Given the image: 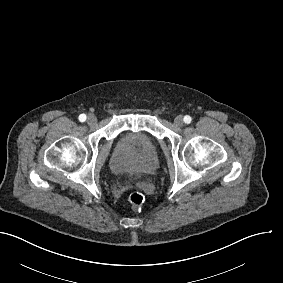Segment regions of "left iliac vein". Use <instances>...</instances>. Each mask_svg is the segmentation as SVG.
Here are the masks:
<instances>
[{
  "label": "left iliac vein",
  "instance_id": "4c4485c4",
  "mask_svg": "<svg viewBox=\"0 0 283 283\" xmlns=\"http://www.w3.org/2000/svg\"><path fill=\"white\" fill-rule=\"evenodd\" d=\"M183 123H184V120H183V117L181 115L175 117V119H174L175 126L181 127L183 125Z\"/></svg>",
  "mask_w": 283,
  "mask_h": 283
}]
</instances>
